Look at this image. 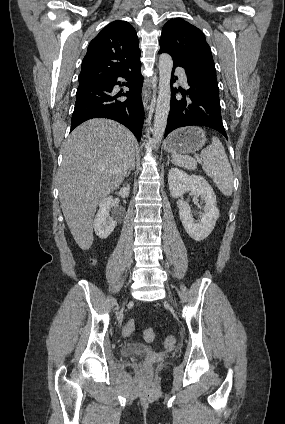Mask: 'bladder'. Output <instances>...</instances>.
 <instances>
[{"instance_id":"31cf9c89","label":"bladder","mask_w":285,"mask_h":424,"mask_svg":"<svg viewBox=\"0 0 285 424\" xmlns=\"http://www.w3.org/2000/svg\"><path fill=\"white\" fill-rule=\"evenodd\" d=\"M150 348L147 345L139 343H127L122 347V353L124 355H141L148 352Z\"/></svg>"}]
</instances>
